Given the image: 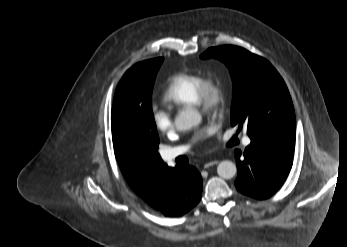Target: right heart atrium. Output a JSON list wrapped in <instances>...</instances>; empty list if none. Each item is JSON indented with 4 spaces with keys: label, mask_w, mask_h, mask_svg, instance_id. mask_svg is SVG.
Segmentation results:
<instances>
[{
    "label": "right heart atrium",
    "mask_w": 347,
    "mask_h": 247,
    "mask_svg": "<svg viewBox=\"0 0 347 247\" xmlns=\"http://www.w3.org/2000/svg\"><path fill=\"white\" fill-rule=\"evenodd\" d=\"M152 121L156 129L164 134L171 132L174 128L171 116L164 110H154L152 113Z\"/></svg>",
    "instance_id": "1"
}]
</instances>
